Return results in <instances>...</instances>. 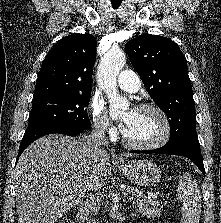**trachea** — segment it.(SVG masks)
<instances>
[{
    "mask_svg": "<svg viewBox=\"0 0 221 223\" xmlns=\"http://www.w3.org/2000/svg\"><path fill=\"white\" fill-rule=\"evenodd\" d=\"M121 3H122V0H111L112 7L114 9H117Z\"/></svg>",
    "mask_w": 221,
    "mask_h": 223,
    "instance_id": "3493384b",
    "label": "trachea"
}]
</instances>
